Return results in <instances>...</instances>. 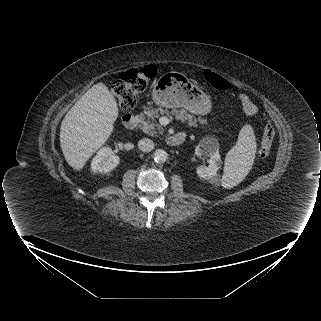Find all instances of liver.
Listing matches in <instances>:
<instances>
[{
  "label": "liver",
  "mask_w": 321,
  "mask_h": 321,
  "mask_svg": "<svg viewBox=\"0 0 321 321\" xmlns=\"http://www.w3.org/2000/svg\"><path fill=\"white\" fill-rule=\"evenodd\" d=\"M118 118L116 99L103 83L92 86L65 115L60 145L67 163L83 169L87 160L108 140Z\"/></svg>",
  "instance_id": "obj_1"
}]
</instances>
